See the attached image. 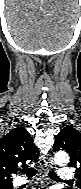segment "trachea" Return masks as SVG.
<instances>
[{"label":"trachea","instance_id":"3493384b","mask_svg":"<svg viewBox=\"0 0 81 189\" xmlns=\"http://www.w3.org/2000/svg\"><path fill=\"white\" fill-rule=\"evenodd\" d=\"M21 172L26 174L27 177H33V176L36 175L37 169L35 167L34 168H27V169L21 170ZM48 175L53 180L61 181V179L57 176V174L53 170H49Z\"/></svg>","mask_w":81,"mask_h":189}]
</instances>
